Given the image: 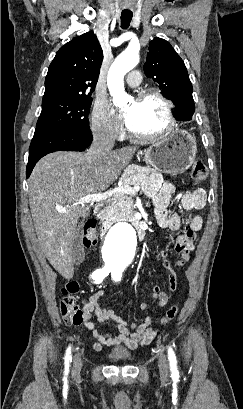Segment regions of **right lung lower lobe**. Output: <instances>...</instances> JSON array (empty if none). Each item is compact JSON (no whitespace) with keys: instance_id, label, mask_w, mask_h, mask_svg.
<instances>
[{"instance_id":"1","label":"right lung lower lobe","mask_w":243,"mask_h":409,"mask_svg":"<svg viewBox=\"0 0 243 409\" xmlns=\"http://www.w3.org/2000/svg\"><path fill=\"white\" fill-rule=\"evenodd\" d=\"M92 139L91 131L66 132L52 128H36L30 145L26 177L30 176L35 164L46 154L60 150L83 151L91 144Z\"/></svg>"}]
</instances>
